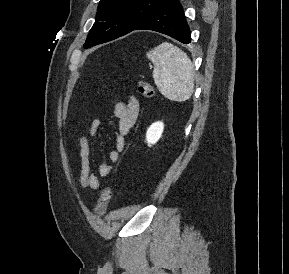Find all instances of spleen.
I'll list each match as a JSON object with an SVG mask.
<instances>
[{
	"label": "spleen",
	"instance_id": "obj_1",
	"mask_svg": "<svg viewBox=\"0 0 289 274\" xmlns=\"http://www.w3.org/2000/svg\"><path fill=\"white\" fill-rule=\"evenodd\" d=\"M154 64V82L166 98L182 102L194 89V67L185 52L171 43L163 42L147 53Z\"/></svg>",
	"mask_w": 289,
	"mask_h": 274
}]
</instances>
